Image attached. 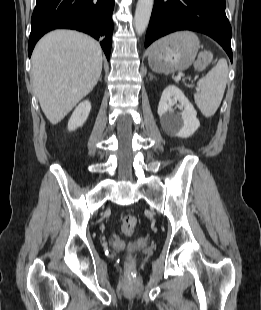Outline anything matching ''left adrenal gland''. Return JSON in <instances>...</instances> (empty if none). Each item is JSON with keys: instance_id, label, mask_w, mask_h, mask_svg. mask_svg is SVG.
<instances>
[{"instance_id": "1", "label": "left adrenal gland", "mask_w": 261, "mask_h": 310, "mask_svg": "<svg viewBox=\"0 0 261 310\" xmlns=\"http://www.w3.org/2000/svg\"><path fill=\"white\" fill-rule=\"evenodd\" d=\"M149 77H150V79L154 78V76L151 73H149Z\"/></svg>"}]
</instances>
